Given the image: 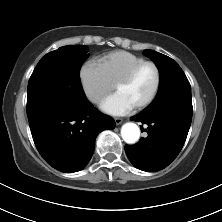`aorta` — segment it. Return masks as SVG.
Listing matches in <instances>:
<instances>
[{"mask_svg":"<svg viewBox=\"0 0 222 222\" xmlns=\"http://www.w3.org/2000/svg\"><path fill=\"white\" fill-rule=\"evenodd\" d=\"M121 136L128 144H135L140 138V129L134 123H126L121 128Z\"/></svg>","mask_w":222,"mask_h":222,"instance_id":"762f6f07","label":"aorta"}]
</instances>
